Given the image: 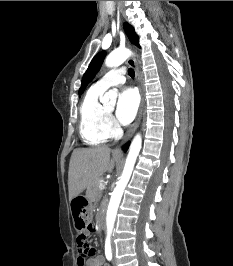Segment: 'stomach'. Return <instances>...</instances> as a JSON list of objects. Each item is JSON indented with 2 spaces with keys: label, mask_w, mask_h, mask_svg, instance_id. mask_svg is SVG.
<instances>
[{
  "label": "stomach",
  "mask_w": 233,
  "mask_h": 266,
  "mask_svg": "<svg viewBox=\"0 0 233 266\" xmlns=\"http://www.w3.org/2000/svg\"><path fill=\"white\" fill-rule=\"evenodd\" d=\"M90 203V196L85 194H76L72 199L71 209L74 216V228L76 232H87L89 225H94V220L88 216V205Z\"/></svg>",
  "instance_id": "1"
}]
</instances>
